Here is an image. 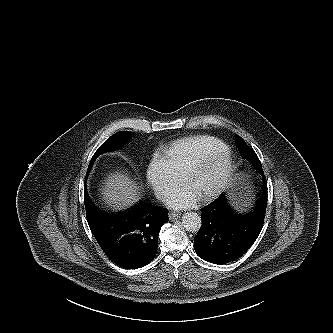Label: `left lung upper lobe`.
Returning <instances> with one entry per match:
<instances>
[{
  "label": "left lung upper lobe",
  "instance_id": "left-lung-upper-lobe-1",
  "mask_svg": "<svg viewBox=\"0 0 333 333\" xmlns=\"http://www.w3.org/2000/svg\"><path fill=\"white\" fill-rule=\"evenodd\" d=\"M236 145L244 159L249 160L256 170L262 174V166L259 158L257 157L255 151L251 149L241 137H236Z\"/></svg>",
  "mask_w": 333,
  "mask_h": 333
}]
</instances>
